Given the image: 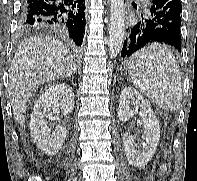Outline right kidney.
Wrapping results in <instances>:
<instances>
[{
	"mask_svg": "<svg viewBox=\"0 0 197 181\" xmlns=\"http://www.w3.org/2000/svg\"><path fill=\"white\" fill-rule=\"evenodd\" d=\"M59 113H70L74 108V92L65 84L51 85L34 105L30 117L31 136L37 146L48 155L58 153L67 136L66 128L58 125L50 134L48 119L52 118L50 109Z\"/></svg>",
	"mask_w": 197,
	"mask_h": 181,
	"instance_id": "1",
	"label": "right kidney"
}]
</instances>
